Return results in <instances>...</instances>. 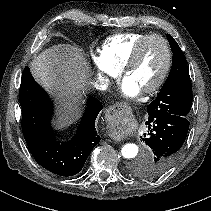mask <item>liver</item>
Listing matches in <instances>:
<instances>
[{
	"label": "liver",
	"mask_w": 211,
	"mask_h": 211,
	"mask_svg": "<svg viewBox=\"0 0 211 211\" xmlns=\"http://www.w3.org/2000/svg\"><path fill=\"white\" fill-rule=\"evenodd\" d=\"M30 69L43 87L59 91L64 106L73 112L88 84V64L82 50L69 44L54 45L35 57ZM68 120L71 118H62L58 125L65 126Z\"/></svg>",
	"instance_id": "6515ba94"
}]
</instances>
